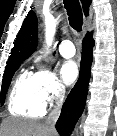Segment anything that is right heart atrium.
<instances>
[{"label":"right heart atrium","mask_w":117,"mask_h":136,"mask_svg":"<svg viewBox=\"0 0 117 136\" xmlns=\"http://www.w3.org/2000/svg\"><path fill=\"white\" fill-rule=\"evenodd\" d=\"M36 93L45 105H52L64 94V86L56 74L46 67H39L34 73Z\"/></svg>","instance_id":"right-heart-atrium-1"}]
</instances>
